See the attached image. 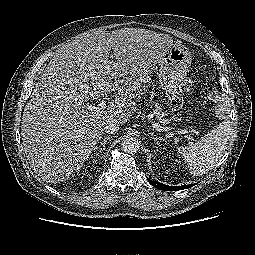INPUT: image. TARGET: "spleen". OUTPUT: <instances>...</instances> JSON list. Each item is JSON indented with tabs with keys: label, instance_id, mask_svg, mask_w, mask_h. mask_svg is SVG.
<instances>
[{
	"label": "spleen",
	"instance_id": "3e777b00",
	"mask_svg": "<svg viewBox=\"0 0 255 255\" xmlns=\"http://www.w3.org/2000/svg\"><path fill=\"white\" fill-rule=\"evenodd\" d=\"M231 134V124L224 120L193 146L179 147L178 152L183 155L189 172L201 176L213 169L222 157Z\"/></svg>",
	"mask_w": 255,
	"mask_h": 255
}]
</instances>
